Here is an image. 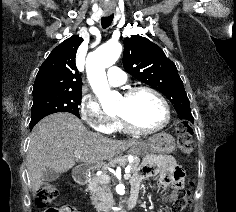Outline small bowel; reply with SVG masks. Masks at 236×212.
Masks as SVG:
<instances>
[{"mask_svg":"<svg viewBox=\"0 0 236 212\" xmlns=\"http://www.w3.org/2000/svg\"><path fill=\"white\" fill-rule=\"evenodd\" d=\"M150 174H157L162 178L163 183L169 180L179 181L182 184V176L175 167L174 160L169 156L154 155L144 163L143 170L132 183V189H139L140 181ZM70 212H76L73 208L66 206Z\"/></svg>","mask_w":236,"mask_h":212,"instance_id":"obj_1","label":"small bowel"}]
</instances>
